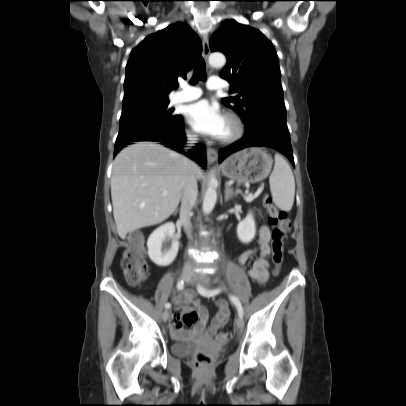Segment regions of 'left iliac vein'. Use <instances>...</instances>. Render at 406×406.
I'll use <instances>...</instances> for the list:
<instances>
[{"mask_svg":"<svg viewBox=\"0 0 406 406\" xmlns=\"http://www.w3.org/2000/svg\"><path fill=\"white\" fill-rule=\"evenodd\" d=\"M193 281H198L199 283H203L205 285H207L205 279L203 277H201L200 275H194L193 276ZM236 325L238 329H242L244 327V321L243 318L241 316H239L236 320Z\"/></svg>","mask_w":406,"mask_h":406,"instance_id":"1","label":"left iliac vein"}]
</instances>
